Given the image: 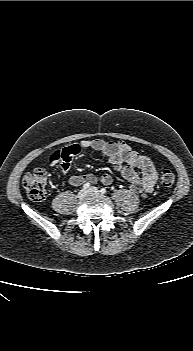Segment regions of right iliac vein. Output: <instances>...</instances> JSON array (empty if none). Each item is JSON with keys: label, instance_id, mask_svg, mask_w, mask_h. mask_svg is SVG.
<instances>
[{"label": "right iliac vein", "instance_id": "63e3f726", "mask_svg": "<svg viewBox=\"0 0 193 351\" xmlns=\"http://www.w3.org/2000/svg\"><path fill=\"white\" fill-rule=\"evenodd\" d=\"M87 196V190L82 189L78 192L77 197L79 199H84Z\"/></svg>", "mask_w": 193, "mask_h": 351}]
</instances>
